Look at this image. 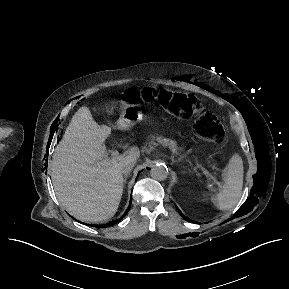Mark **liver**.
<instances>
[{
  "label": "liver",
  "instance_id": "1",
  "mask_svg": "<svg viewBox=\"0 0 289 289\" xmlns=\"http://www.w3.org/2000/svg\"><path fill=\"white\" fill-rule=\"evenodd\" d=\"M109 133L110 127H100L84 106L74 114L55 148L51 178L56 196L80 221L102 222L115 215L123 193L120 164L140 155L132 147L117 160L104 159Z\"/></svg>",
  "mask_w": 289,
  "mask_h": 289
}]
</instances>
